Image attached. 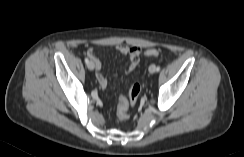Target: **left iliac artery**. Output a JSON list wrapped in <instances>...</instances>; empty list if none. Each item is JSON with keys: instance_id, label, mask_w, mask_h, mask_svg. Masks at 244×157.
I'll return each instance as SVG.
<instances>
[{"instance_id": "left-iliac-artery-1", "label": "left iliac artery", "mask_w": 244, "mask_h": 157, "mask_svg": "<svg viewBox=\"0 0 244 157\" xmlns=\"http://www.w3.org/2000/svg\"><path fill=\"white\" fill-rule=\"evenodd\" d=\"M155 70H156V72H159L160 71V66H157Z\"/></svg>"}]
</instances>
